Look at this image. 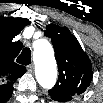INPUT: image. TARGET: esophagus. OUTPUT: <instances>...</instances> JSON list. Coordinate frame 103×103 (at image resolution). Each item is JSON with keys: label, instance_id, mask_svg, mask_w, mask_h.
<instances>
[{"label": "esophagus", "instance_id": "esophagus-1", "mask_svg": "<svg viewBox=\"0 0 103 103\" xmlns=\"http://www.w3.org/2000/svg\"><path fill=\"white\" fill-rule=\"evenodd\" d=\"M34 68H35L34 64H30L28 66L27 70H28V72L32 73L34 71Z\"/></svg>", "mask_w": 103, "mask_h": 103}]
</instances>
